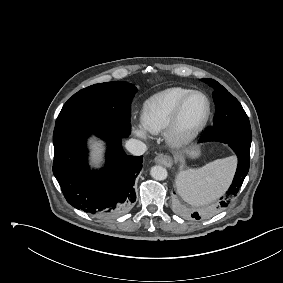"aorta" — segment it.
Instances as JSON below:
<instances>
[{
	"instance_id": "obj_1",
	"label": "aorta",
	"mask_w": 283,
	"mask_h": 283,
	"mask_svg": "<svg viewBox=\"0 0 283 283\" xmlns=\"http://www.w3.org/2000/svg\"><path fill=\"white\" fill-rule=\"evenodd\" d=\"M150 174L156 180H165L167 178V170L158 165L151 168Z\"/></svg>"
}]
</instances>
